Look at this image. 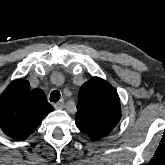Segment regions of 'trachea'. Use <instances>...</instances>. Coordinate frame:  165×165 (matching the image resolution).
Masks as SVG:
<instances>
[{"instance_id":"obj_1","label":"trachea","mask_w":165,"mask_h":165,"mask_svg":"<svg viewBox=\"0 0 165 165\" xmlns=\"http://www.w3.org/2000/svg\"><path fill=\"white\" fill-rule=\"evenodd\" d=\"M60 92L58 90H53L50 94V101L57 102L60 99Z\"/></svg>"}]
</instances>
